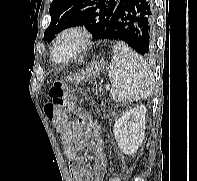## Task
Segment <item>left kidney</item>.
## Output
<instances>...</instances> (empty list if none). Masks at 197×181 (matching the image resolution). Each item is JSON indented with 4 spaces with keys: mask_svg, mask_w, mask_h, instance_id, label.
<instances>
[{
    "mask_svg": "<svg viewBox=\"0 0 197 181\" xmlns=\"http://www.w3.org/2000/svg\"><path fill=\"white\" fill-rule=\"evenodd\" d=\"M147 109L138 105L127 110L114 124V136L120 150L127 155L134 154L145 136Z\"/></svg>",
    "mask_w": 197,
    "mask_h": 181,
    "instance_id": "obj_1",
    "label": "left kidney"
}]
</instances>
